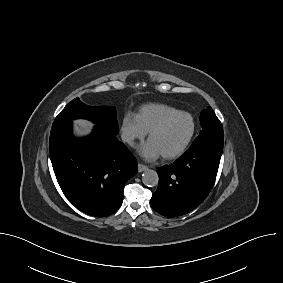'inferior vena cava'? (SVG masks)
<instances>
[{
  "label": "inferior vena cava",
  "instance_id": "inferior-vena-cava-1",
  "mask_svg": "<svg viewBox=\"0 0 283 283\" xmlns=\"http://www.w3.org/2000/svg\"><path fill=\"white\" fill-rule=\"evenodd\" d=\"M121 138L124 142L131 144L133 142V136L128 133H122Z\"/></svg>",
  "mask_w": 283,
  "mask_h": 283
}]
</instances>
